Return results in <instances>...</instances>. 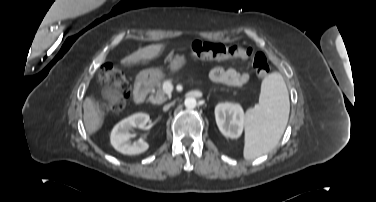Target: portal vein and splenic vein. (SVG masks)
Here are the masks:
<instances>
[{"label": "portal vein and splenic vein", "instance_id": "obj_1", "mask_svg": "<svg viewBox=\"0 0 376 202\" xmlns=\"http://www.w3.org/2000/svg\"><path fill=\"white\" fill-rule=\"evenodd\" d=\"M163 89H164V92H165V93L170 94V93L172 92L173 86H172L171 83L166 82V83L164 84Z\"/></svg>", "mask_w": 376, "mask_h": 202}]
</instances>
